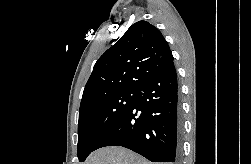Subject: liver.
Segmentation results:
<instances>
[{
    "label": "liver",
    "mask_w": 251,
    "mask_h": 164,
    "mask_svg": "<svg viewBox=\"0 0 251 164\" xmlns=\"http://www.w3.org/2000/svg\"><path fill=\"white\" fill-rule=\"evenodd\" d=\"M84 164H151L140 155L123 147L110 146L90 154Z\"/></svg>",
    "instance_id": "liver-1"
}]
</instances>
